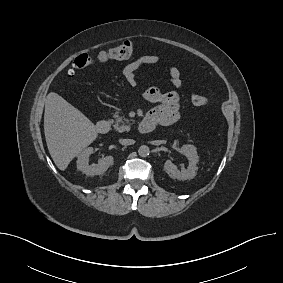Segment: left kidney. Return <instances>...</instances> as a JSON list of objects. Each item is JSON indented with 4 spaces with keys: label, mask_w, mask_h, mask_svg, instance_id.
<instances>
[{
    "label": "left kidney",
    "mask_w": 283,
    "mask_h": 283,
    "mask_svg": "<svg viewBox=\"0 0 283 283\" xmlns=\"http://www.w3.org/2000/svg\"><path fill=\"white\" fill-rule=\"evenodd\" d=\"M180 153L185 155L188 159V168L179 170L171 160H167L164 164V170L170 174L173 178L179 180L193 179L196 176L199 161L196 147L191 144L183 145L180 149Z\"/></svg>",
    "instance_id": "obj_1"
}]
</instances>
